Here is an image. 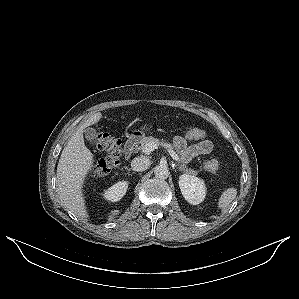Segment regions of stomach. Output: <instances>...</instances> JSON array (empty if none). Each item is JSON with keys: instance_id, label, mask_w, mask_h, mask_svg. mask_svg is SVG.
<instances>
[{"instance_id": "0dacf381", "label": "stomach", "mask_w": 299, "mask_h": 299, "mask_svg": "<svg viewBox=\"0 0 299 299\" xmlns=\"http://www.w3.org/2000/svg\"><path fill=\"white\" fill-rule=\"evenodd\" d=\"M149 127H144V129L142 131L139 130H135L132 132V134L130 135V137L132 139H141L144 136V131H148Z\"/></svg>"}]
</instances>
